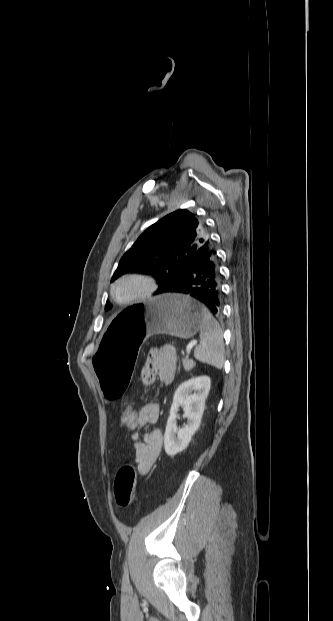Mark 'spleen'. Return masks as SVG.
Instances as JSON below:
<instances>
[{
	"mask_svg": "<svg viewBox=\"0 0 333 621\" xmlns=\"http://www.w3.org/2000/svg\"><path fill=\"white\" fill-rule=\"evenodd\" d=\"M223 334L219 323L206 310L200 326V344L194 351V357L205 364L221 369L224 365Z\"/></svg>",
	"mask_w": 333,
	"mask_h": 621,
	"instance_id": "spleen-1",
	"label": "spleen"
}]
</instances>
